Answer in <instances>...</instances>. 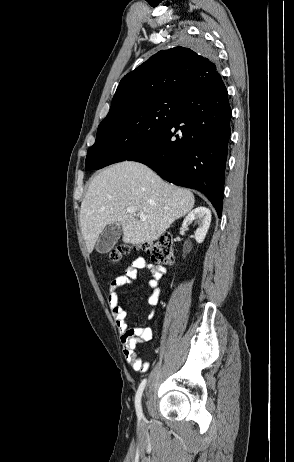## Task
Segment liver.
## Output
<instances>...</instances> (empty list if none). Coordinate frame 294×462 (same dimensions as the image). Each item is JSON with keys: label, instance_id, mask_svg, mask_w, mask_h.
<instances>
[{"label": "liver", "instance_id": "liver-1", "mask_svg": "<svg viewBox=\"0 0 294 462\" xmlns=\"http://www.w3.org/2000/svg\"><path fill=\"white\" fill-rule=\"evenodd\" d=\"M194 203L191 191L166 183L144 164H114L93 178L81 203L80 226L87 250L91 253L103 230L115 223L122 226L123 242H153ZM140 213L147 218L139 219Z\"/></svg>", "mask_w": 294, "mask_h": 462}]
</instances>
